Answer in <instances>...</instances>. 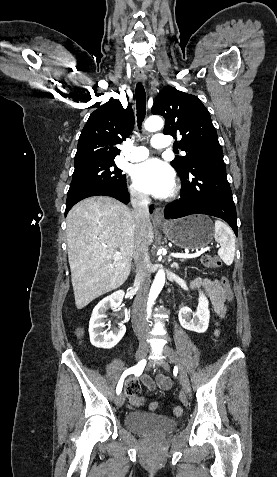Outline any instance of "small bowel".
<instances>
[{
    "mask_svg": "<svg viewBox=\"0 0 277 477\" xmlns=\"http://www.w3.org/2000/svg\"><path fill=\"white\" fill-rule=\"evenodd\" d=\"M192 287L193 288L203 287L211 299L215 314L219 318H222L224 316L226 311V306H225L226 296H225V292L223 291V286L219 281L211 280V279L196 278L192 282ZM214 334L217 335L218 330H215ZM141 381L150 390H154L156 387H159L162 389H169L171 386L170 379L161 374L157 375L155 379H152L150 376L143 374L141 375ZM130 383L136 384L140 391V386L138 382L132 380L129 382V384Z\"/></svg>",
    "mask_w": 277,
    "mask_h": 477,
    "instance_id": "obj_1",
    "label": "small bowel"
}]
</instances>
